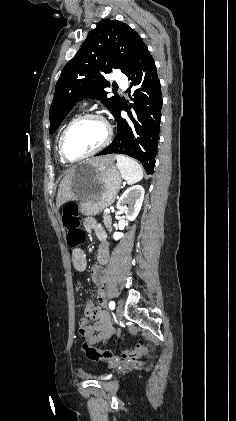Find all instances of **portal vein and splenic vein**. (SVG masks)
<instances>
[{
  "instance_id": "1",
  "label": "portal vein and splenic vein",
  "mask_w": 236,
  "mask_h": 421,
  "mask_svg": "<svg viewBox=\"0 0 236 421\" xmlns=\"http://www.w3.org/2000/svg\"><path fill=\"white\" fill-rule=\"evenodd\" d=\"M105 213H110V208H106Z\"/></svg>"
}]
</instances>
